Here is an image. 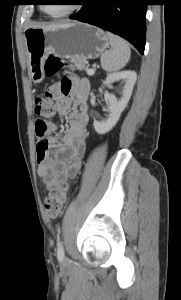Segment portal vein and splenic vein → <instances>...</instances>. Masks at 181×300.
<instances>
[{
    "mask_svg": "<svg viewBox=\"0 0 181 300\" xmlns=\"http://www.w3.org/2000/svg\"><path fill=\"white\" fill-rule=\"evenodd\" d=\"M94 73H95V70H94V69H88V70H87V74H88L89 76H93Z\"/></svg>",
    "mask_w": 181,
    "mask_h": 300,
    "instance_id": "obj_1",
    "label": "portal vein and splenic vein"
}]
</instances>
